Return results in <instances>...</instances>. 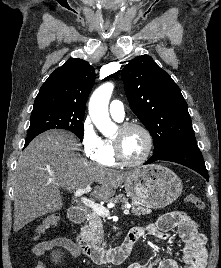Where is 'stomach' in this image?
I'll return each mask as SVG.
<instances>
[{
	"label": "stomach",
	"mask_w": 221,
	"mask_h": 268,
	"mask_svg": "<svg viewBox=\"0 0 221 268\" xmlns=\"http://www.w3.org/2000/svg\"><path fill=\"white\" fill-rule=\"evenodd\" d=\"M127 195L136 203L154 209L173 203L182 192L180 178L162 165L139 167L125 181Z\"/></svg>",
	"instance_id": "obj_1"
}]
</instances>
